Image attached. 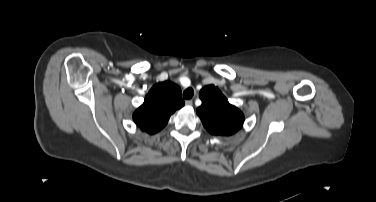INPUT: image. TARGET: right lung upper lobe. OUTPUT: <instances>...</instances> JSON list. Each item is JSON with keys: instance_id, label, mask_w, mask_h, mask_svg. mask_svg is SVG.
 Segmentation results:
<instances>
[{"instance_id": "obj_1", "label": "right lung upper lobe", "mask_w": 376, "mask_h": 202, "mask_svg": "<svg viewBox=\"0 0 376 202\" xmlns=\"http://www.w3.org/2000/svg\"><path fill=\"white\" fill-rule=\"evenodd\" d=\"M184 106L178 85L165 81L155 84L145 97L144 103L134 112L136 125L149 134L163 129L171 114Z\"/></svg>"}]
</instances>
